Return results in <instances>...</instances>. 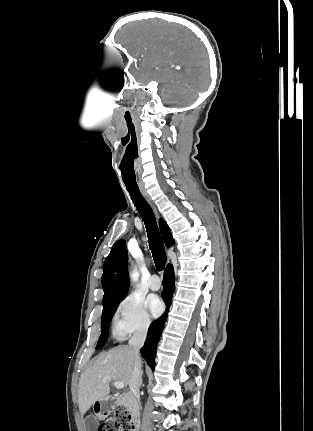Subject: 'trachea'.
Here are the masks:
<instances>
[{
  "mask_svg": "<svg viewBox=\"0 0 313 431\" xmlns=\"http://www.w3.org/2000/svg\"><path fill=\"white\" fill-rule=\"evenodd\" d=\"M127 191L146 226L148 242L156 268L160 271L167 262L163 241L160 237L154 213L139 188L127 186Z\"/></svg>",
  "mask_w": 313,
  "mask_h": 431,
  "instance_id": "3493384b",
  "label": "trachea"
}]
</instances>
